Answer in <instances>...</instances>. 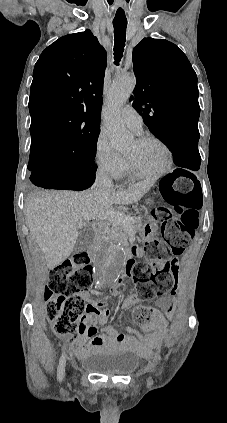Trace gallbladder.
Returning <instances> with one entry per match:
<instances>
[{
    "instance_id": "1",
    "label": "gallbladder",
    "mask_w": 227,
    "mask_h": 423,
    "mask_svg": "<svg viewBox=\"0 0 227 423\" xmlns=\"http://www.w3.org/2000/svg\"><path fill=\"white\" fill-rule=\"evenodd\" d=\"M95 237V231L93 227H85L79 231L78 239L74 245L73 253H78V251H86L93 243Z\"/></svg>"
}]
</instances>
